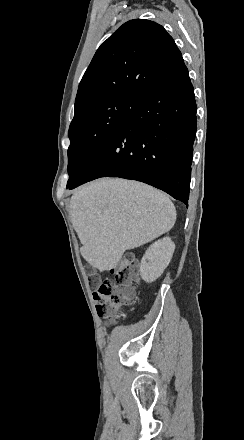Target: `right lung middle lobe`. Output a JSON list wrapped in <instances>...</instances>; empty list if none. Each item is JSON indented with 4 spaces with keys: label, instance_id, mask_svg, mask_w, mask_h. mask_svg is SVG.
I'll list each match as a JSON object with an SVG mask.
<instances>
[{
    "label": "right lung middle lobe",
    "instance_id": "1",
    "mask_svg": "<svg viewBox=\"0 0 244 440\" xmlns=\"http://www.w3.org/2000/svg\"><path fill=\"white\" fill-rule=\"evenodd\" d=\"M141 97L114 96L75 106L69 128V188L85 171L107 140L134 111Z\"/></svg>",
    "mask_w": 244,
    "mask_h": 440
}]
</instances>
